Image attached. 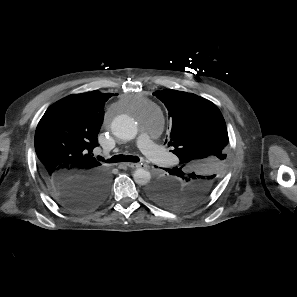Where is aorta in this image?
Returning <instances> with one entry per match:
<instances>
[{
  "instance_id": "aorta-1",
  "label": "aorta",
  "mask_w": 297,
  "mask_h": 297,
  "mask_svg": "<svg viewBox=\"0 0 297 297\" xmlns=\"http://www.w3.org/2000/svg\"><path fill=\"white\" fill-rule=\"evenodd\" d=\"M113 134L122 140H133L138 132L136 122L128 115L117 116L111 124ZM133 179L138 185H146L150 182L151 174L144 168H138L133 173Z\"/></svg>"
}]
</instances>
